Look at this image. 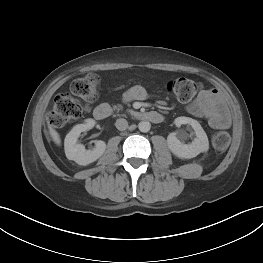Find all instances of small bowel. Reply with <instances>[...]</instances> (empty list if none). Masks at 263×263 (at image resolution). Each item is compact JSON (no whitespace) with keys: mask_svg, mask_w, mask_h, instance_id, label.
Wrapping results in <instances>:
<instances>
[{"mask_svg":"<svg viewBox=\"0 0 263 263\" xmlns=\"http://www.w3.org/2000/svg\"><path fill=\"white\" fill-rule=\"evenodd\" d=\"M147 91L143 86L135 85L124 93V100L142 101L146 98ZM187 111L195 117L205 118L209 125L216 129H225L230 126L231 119L220 94L213 89L201 91L191 103Z\"/></svg>","mask_w":263,"mask_h":263,"instance_id":"small-bowel-1","label":"small bowel"}]
</instances>
